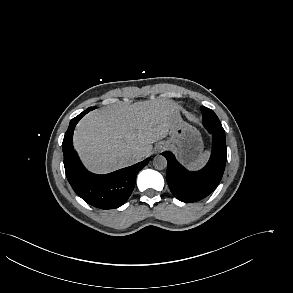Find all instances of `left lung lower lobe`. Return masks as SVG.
Masks as SVG:
<instances>
[{"label":"left lung lower lobe","mask_w":293,"mask_h":293,"mask_svg":"<svg viewBox=\"0 0 293 293\" xmlns=\"http://www.w3.org/2000/svg\"><path fill=\"white\" fill-rule=\"evenodd\" d=\"M204 123V122H203ZM212 134V152L207 165L196 172H189L180 165L171 152H163L166 157V180L172 194L180 201H199L211 194L220 183L226 165L225 131L204 123Z\"/></svg>","instance_id":"0a47b994"}]
</instances>
